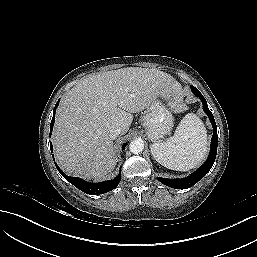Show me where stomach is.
Wrapping results in <instances>:
<instances>
[{
  "instance_id": "obj_1",
  "label": "stomach",
  "mask_w": 257,
  "mask_h": 257,
  "mask_svg": "<svg viewBox=\"0 0 257 257\" xmlns=\"http://www.w3.org/2000/svg\"><path fill=\"white\" fill-rule=\"evenodd\" d=\"M141 124L151 141H156L168 134L174 125L171 112L164 101L158 97L153 98L146 106L141 116Z\"/></svg>"
}]
</instances>
